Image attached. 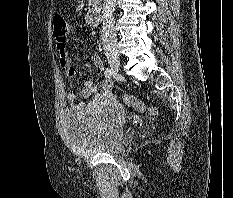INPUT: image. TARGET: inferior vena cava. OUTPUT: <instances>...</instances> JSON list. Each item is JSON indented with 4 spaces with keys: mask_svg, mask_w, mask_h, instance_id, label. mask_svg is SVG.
<instances>
[{
    "mask_svg": "<svg viewBox=\"0 0 233 198\" xmlns=\"http://www.w3.org/2000/svg\"><path fill=\"white\" fill-rule=\"evenodd\" d=\"M109 5L106 1L103 11L102 41L105 52L116 51L117 40L114 28L113 12L108 13Z\"/></svg>",
    "mask_w": 233,
    "mask_h": 198,
    "instance_id": "602c4592",
    "label": "inferior vena cava"
}]
</instances>
